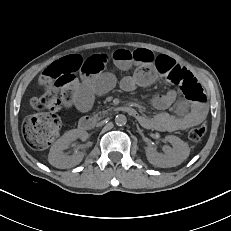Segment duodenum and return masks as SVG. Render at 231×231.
I'll list each match as a JSON object with an SVG mask.
<instances>
[{
  "mask_svg": "<svg viewBox=\"0 0 231 231\" xmlns=\"http://www.w3.org/2000/svg\"><path fill=\"white\" fill-rule=\"evenodd\" d=\"M122 111L128 113L130 116H132L135 119H140V115L137 113V111L129 106L122 107ZM94 125V119L90 116H84L79 121V129L82 131H87L91 129Z\"/></svg>",
  "mask_w": 231,
  "mask_h": 231,
  "instance_id": "duodenum-1",
  "label": "duodenum"
}]
</instances>
